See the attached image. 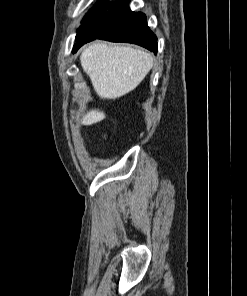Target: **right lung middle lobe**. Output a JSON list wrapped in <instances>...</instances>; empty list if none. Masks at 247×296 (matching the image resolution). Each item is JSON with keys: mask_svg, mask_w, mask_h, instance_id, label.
Wrapping results in <instances>:
<instances>
[{"mask_svg": "<svg viewBox=\"0 0 247 296\" xmlns=\"http://www.w3.org/2000/svg\"><path fill=\"white\" fill-rule=\"evenodd\" d=\"M109 2H104L97 4L94 8H92L84 17L82 20V26L79 27L76 35V44H74L73 49L75 46H77L81 41H83L87 36V26L89 23H91L93 20L98 18L101 13L106 9Z\"/></svg>", "mask_w": 247, "mask_h": 296, "instance_id": "dd1d6c3e", "label": "right lung middle lobe"}]
</instances>
